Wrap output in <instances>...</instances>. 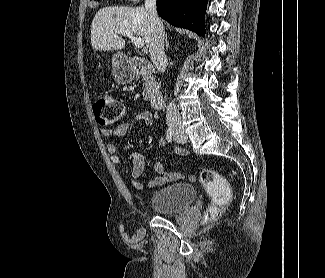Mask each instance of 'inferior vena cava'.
<instances>
[{
  "instance_id": "inferior-vena-cava-1",
  "label": "inferior vena cava",
  "mask_w": 325,
  "mask_h": 278,
  "mask_svg": "<svg viewBox=\"0 0 325 278\" xmlns=\"http://www.w3.org/2000/svg\"><path fill=\"white\" fill-rule=\"evenodd\" d=\"M145 9L151 24L150 56L157 70L165 72L167 58L164 52V28L157 15L156 0H145ZM166 119L168 123H181V116L174 101L167 106Z\"/></svg>"
}]
</instances>
